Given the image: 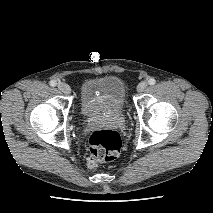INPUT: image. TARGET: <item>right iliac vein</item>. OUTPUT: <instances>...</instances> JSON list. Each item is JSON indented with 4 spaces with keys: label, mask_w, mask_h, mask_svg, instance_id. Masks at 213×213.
I'll return each mask as SVG.
<instances>
[{
    "label": "right iliac vein",
    "mask_w": 213,
    "mask_h": 213,
    "mask_svg": "<svg viewBox=\"0 0 213 213\" xmlns=\"http://www.w3.org/2000/svg\"><path fill=\"white\" fill-rule=\"evenodd\" d=\"M57 86L64 94H69L71 91L70 86L64 82H59Z\"/></svg>",
    "instance_id": "right-iliac-vein-1"
}]
</instances>
